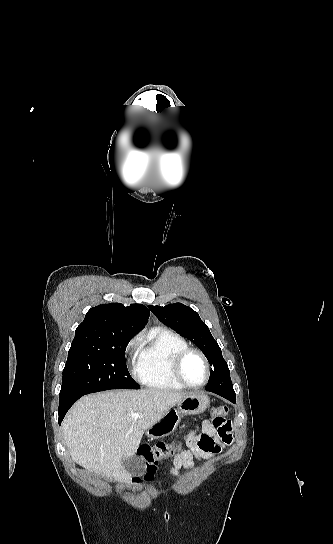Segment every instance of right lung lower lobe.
<instances>
[{
    "mask_svg": "<svg viewBox=\"0 0 333 544\" xmlns=\"http://www.w3.org/2000/svg\"><path fill=\"white\" fill-rule=\"evenodd\" d=\"M82 396L83 395L74 396L72 394H64L59 396V424H61L69 408Z\"/></svg>",
    "mask_w": 333,
    "mask_h": 544,
    "instance_id": "1",
    "label": "right lung lower lobe"
}]
</instances>
